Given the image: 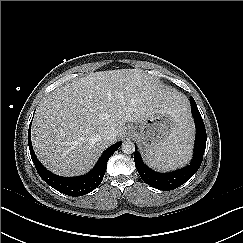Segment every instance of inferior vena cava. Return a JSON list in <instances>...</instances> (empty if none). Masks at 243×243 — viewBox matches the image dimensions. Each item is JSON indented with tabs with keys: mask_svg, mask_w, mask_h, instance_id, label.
Masks as SVG:
<instances>
[{
	"mask_svg": "<svg viewBox=\"0 0 243 243\" xmlns=\"http://www.w3.org/2000/svg\"><path fill=\"white\" fill-rule=\"evenodd\" d=\"M114 136H115L114 131L113 130H108V131L105 132L103 137H104L105 140L111 141L112 139H114Z\"/></svg>",
	"mask_w": 243,
	"mask_h": 243,
	"instance_id": "obj_1",
	"label": "inferior vena cava"
}]
</instances>
